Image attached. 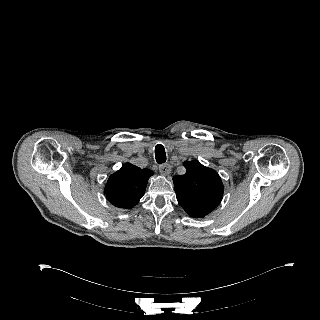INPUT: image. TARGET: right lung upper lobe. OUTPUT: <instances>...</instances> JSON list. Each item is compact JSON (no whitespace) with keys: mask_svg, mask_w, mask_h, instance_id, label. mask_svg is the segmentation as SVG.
I'll use <instances>...</instances> for the list:
<instances>
[{"mask_svg":"<svg viewBox=\"0 0 320 320\" xmlns=\"http://www.w3.org/2000/svg\"><path fill=\"white\" fill-rule=\"evenodd\" d=\"M153 172L126 163L112 174L105 186L107 200L118 208H132L145 193L147 182Z\"/></svg>","mask_w":320,"mask_h":320,"instance_id":"1","label":"right lung upper lobe"}]
</instances>
